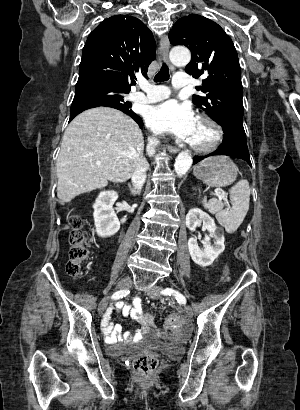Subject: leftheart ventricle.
<instances>
[{
	"mask_svg": "<svg viewBox=\"0 0 300 410\" xmlns=\"http://www.w3.org/2000/svg\"><path fill=\"white\" fill-rule=\"evenodd\" d=\"M214 137L215 133L213 129L198 120L191 143L195 145H207L213 141Z\"/></svg>",
	"mask_w": 300,
	"mask_h": 410,
	"instance_id": "1",
	"label": "left heart ventricle"
}]
</instances>
